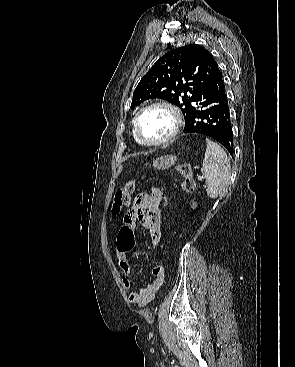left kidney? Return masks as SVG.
I'll return each mask as SVG.
<instances>
[{"label":"left kidney","mask_w":295,"mask_h":367,"mask_svg":"<svg viewBox=\"0 0 295 367\" xmlns=\"http://www.w3.org/2000/svg\"><path fill=\"white\" fill-rule=\"evenodd\" d=\"M191 207H192L193 209H195V208L197 207V203H196V202H194V201H192V203H191Z\"/></svg>","instance_id":"obj_1"}]
</instances>
